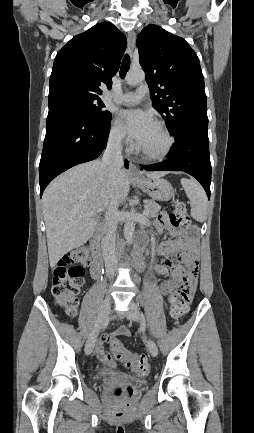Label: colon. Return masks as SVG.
I'll use <instances>...</instances> for the list:
<instances>
[{"mask_svg": "<svg viewBox=\"0 0 254 433\" xmlns=\"http://www.w3.org/2000/svg\"><path fill=\"white\" fill-rule=\"evenodd\" d=\"M160 220L174 228H185L189 235H196L197 229L191 224L190 215L183 203H178L171 212L161 215ZM88 261L87 247H79L66 253L58 262L53 273L52 294L56 303L69 315H73L79 304V294L84 285V264ZM190 300L184 302L176 296L171 298V317L178 321L188 310ZM120 335L128 336V329L119 330ZM119 348L118 344H115ZM119 357L139 376L149 370V363L144 354H128L120 352ZM120 387L114 390V395H123Z\"/></svg>", "mask_w": 254, "mask_h": 433, "instance_id": "5ec220e1", "label": "colon"}]
</instances>
